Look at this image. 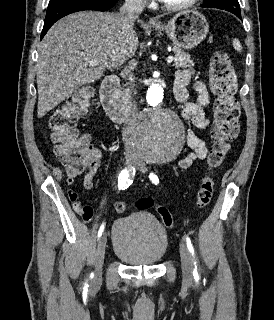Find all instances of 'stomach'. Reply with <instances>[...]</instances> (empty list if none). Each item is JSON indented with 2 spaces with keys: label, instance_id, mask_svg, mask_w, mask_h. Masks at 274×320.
<instances>
[{
  "label": "stomach",
  "instance_id": "0dacf381",
  "mask_svg": "<svg viewBox=\"0 0 274 320\" xmlns=\"http://www.w3.org/2000/svg\"><path fill=\"white\" fill-rule=\"evenodd\" d=\"M154 30L166 32L175 46L182 50H192L205 40L209 32V24L202 14L195 10L179 12L169 20L166 26H152Z\"/></svg>",
  "mask_w": 274,
  "mask_h": 320
}]
</instances>
